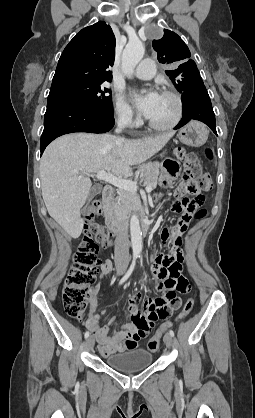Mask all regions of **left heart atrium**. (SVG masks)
I'll return each instance as SVG.
<instances>
[{"instance_id": "1", "label": "left heart atrium", "mask_w": 255, "mask_h": 418, "mask_svg": "<svg viewBox=\"0 0 255 418\" xmlns=\"http://www.w3.org/2000/svg\"><path fill=\"white\" fill-rule=\"evenodd\" d=\"M132 98L138 111L149 118L159 101L160 94L156 90H150L147 93L134 91Z\"/></svg>"}]
</instances>
